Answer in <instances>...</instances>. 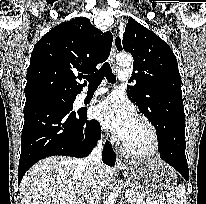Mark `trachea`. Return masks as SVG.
<instances>
[{"instance_id":"obj_1","label":"trachea","mask_w":206,"mask_h":204,"mask_svg":"<svg viewBox=\"0 0 206 204\" xmlns=\"http://www.w3.org/2000/svg\"><path fill=\"white\" fill-rule=\"evenodd\" d=\"M113 83L116 82V77L112 72L111 66L108 62H105L99 71L93 75L86 76L85 78L89 81V88H96L99 86L103 78Z\"/></svg>"}]
</instances>
